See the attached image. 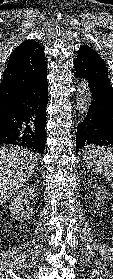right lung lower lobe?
<instances>
[{
	"mask_svg": "<svg viewBox=\"0 0 113 279\" xmlns=\"http://www.w3.org/2000/svg\"><path fill=\"white\" fill-rule=\"evenodd\" d=\"M47 103L46 69L0 112V145H17L43 154Z\"/></svg>",
	"mask_w": 113,
	"mask_h": 279,
	"instance_id": "right-lung-lower-lobe-1",
	"label": "right lung lower lobe"
}]
</instances>
